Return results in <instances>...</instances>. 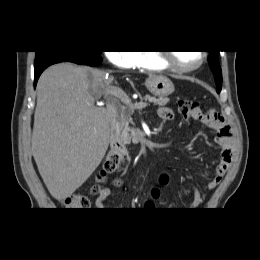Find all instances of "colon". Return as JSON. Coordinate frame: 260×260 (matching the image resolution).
Instances as JSON below:
<instances>
[{
	"label": "colon",
	"mask_w": 260,
	"mask_h": 260,
	"mask_svg": "<svg viewBox=\"0 0 260 260\" xmlns=\"http://www.w3.org/2000/svg\"><path fill=\"white\" fill-rule=\"evenodd\" d=\"M179 111L184 119L195 118L201 114L199 104L193 100H181L179 102ZM124 161L122 157L116 153L109 152L102 170L99 172L98 180L103 182L108 179L110 174L120 172L123 169ZM167 181L166 176L161 177V182L165 183ZM101 187L99 185L95 186L93 189L94 193H100ZM153 195L156 197L158 195L157 190L153 191ZM64 206L70 210H85L89 208L90 202L86 196L74 195L69 196L63 201Z\"/></svg>",
	"instance_id": "5ec220e1"
}]
</instances>
